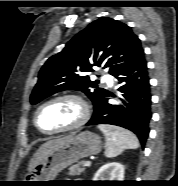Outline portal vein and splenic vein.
Returning a JSON list of instances; mask_svg holds the SVG:
<instances>
[{"mask_svg": "<svg viewBox=\"0 0 178 186\" xmlns=\"http://www.w3.org/2000/svg\"><path fill=\"white\" fill-rule=\"evenodd\" d=\"M91 165V161H86L85 163H84V166L85 167H89Z\"/></svg>", "mask_w": 178, "mask_h": 186, "instance_id": "portal-vein-and-splenic-vein-1", "label": "portal vein and splenic vein"}]
</instances>
